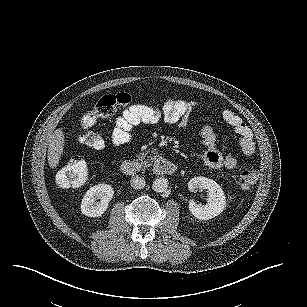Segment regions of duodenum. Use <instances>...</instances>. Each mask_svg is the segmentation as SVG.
Returning a JSON list of instances; mask_svg holds the SVG:
<instances>
[{
    "mask_svg": "<svg viewBox=\"0 0 307 307\" xmlns=\"http://www.w3.org/2000/svg\"><path fill=\"white\" fill-rule=\"evenodd\" d=\"M121 170L125 175L133 176L138 172V165L135 161L126 160L121 164ZM176 170V165L165 158H157L152 167V171L156 175H171Z\"/></svg>",
    "mask_w": 307,
    "mask_h": 307,
    "instance_id": "1",
    "label": "duodenum"
}]
</instances>
